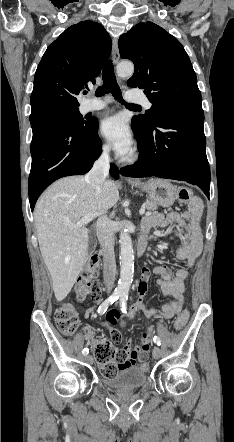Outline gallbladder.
Masks as SVG:
<instances>
[{"label": "gallbladder", "mask_w": 234, "mask_h": 442, "mask_svg": "<svg viewBox=\"0 0 234 442\" xmlns=\"http://www.w3.org/2000/svg\"><path fill=\"white\" fill-rule=\"evenodd\" d=\"M93 249V241L90 239L89 241V250L91 251Z\"/></svg>", "instance_id": "1"}]
</instances>
